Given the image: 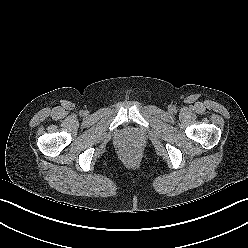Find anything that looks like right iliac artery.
<instances>
[{
	"instance_id": "right-iliac-artery-1",
	"label": "right iliac artery",
	"mask_w": 248,
	"mask_h": 248,
	"mask_svg": "<svg viewBox=\"0 0 248 248\" xmlns=\"http://www.w3.org/2000/svg\"><path fill=\"white\" fill-rule=\"evenodd\" d=\"M81 114H84V112H83V111H81Z\"/></svg>"
}]
</instances>
